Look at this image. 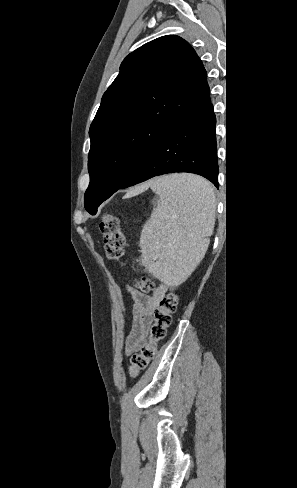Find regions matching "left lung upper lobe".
Instances as JSON below:
<instances>
[{"instance_id": "1", "label": "left lung upper lobe", "mask_w": 297, "mask_h": 488, "mask_svg": "<svg viewBox=\"0 0 297 488\" xmlns=\"http://www.w3.org/2000/svg\"><path fill=\"white\" fill-rule=\"evenodd\" d=\"M209 102L206 70L181 37H159L130 53L90 126L85 209L96 214L172 131Z\"/></svg>"}]
</instances>
